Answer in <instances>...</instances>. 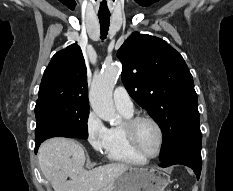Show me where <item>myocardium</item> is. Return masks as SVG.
I'll return each instance as SVG.
<instances>
[{"instance_id":"obj_1","label":"myocardium","mask_w":233,"mask_h":191,"mask_svg":"<svg viewBox=\"0 0 233 191\" xmlns=\"http://www.w3.org/2000/svg\"><path fill=\"white\" fill-rule=\"evenodd\" d=\"M142 121L151 122L155 126L158 132V136H159L158 148H157V152L152 156H148L144 154L137 142V136H136L137 127ZM124 131L131 148L142 158H144L145 160H152L160 155L164 142V133L160 123L155 118L149 115H138L132 117L124 123Z\"/></svg>"}]
</instances>
